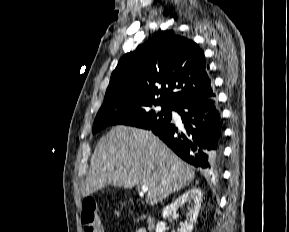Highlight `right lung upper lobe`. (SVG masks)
<instances>
[{
  "label": "right lung upper lobe",
  "instance_id": "obj_1",
  "mask_svg": "<svg viewBox=\"0 0 289 232\" xmlns=\"http://www.w3.org/2000/svg\"><path fill=\"white\" fill-rule=\"evenodd\" d=\"M208 68L196 43L173 30L162 31L120 59L105 99L134 97L176 108L210 98L215 93Z\"/></svg>",
  "mask_w": 289,
  "mask_h": 232
}]
</instances>
